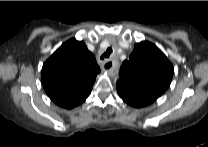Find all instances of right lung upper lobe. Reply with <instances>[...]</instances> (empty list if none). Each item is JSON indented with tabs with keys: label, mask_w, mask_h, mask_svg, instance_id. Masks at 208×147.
I'll return each instance as SVG.
<instances>
[{
	"label": "right lung upper lobe",
	"mask_w": 208,
	"mask_h": 147,
	"mask_svg": "<svg viewBox=\"0 0 208 147\" xmlns=\"http://www.w3.org/2000/svg\"><path fill=\"white\" fill-rule=\"evenodd\" d=\"M99 72L96 59L84 42L72 38L43 64L41 79L49 98L71 109L89 96Z\"/></svg>",
	"instance_id": "cb5924a9"
}]
</instances>
